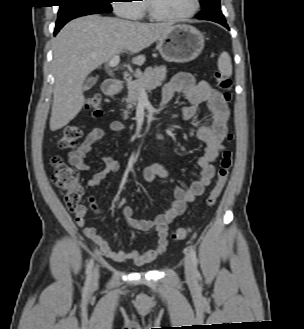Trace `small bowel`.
Instances as JSON below:
<instances>
[{
	"label": "small bowel",
	"mask_w": 304,
	"mask_h": 329,
	"mask_svg": "<svg viewBox=\"0 0 304 329\" xmlns=\"http://www.w3.org/2000/svg\"><path fill=\"white\" fill-rule=\"evenodd\" d=\"M177 94L183 95L189 105L182 107V118L186 121L192 120L203 103L207 107V120L197 129V137L206 144L203 154L198 158L200 169L199 177L191 182L187 189L177 187L174 191L173 200L169 209L154 219L138 220L134 217L133 209L126 206L122 210V218L126 226L137 231H156L157 239L153 247L147 251L134 249L126 252L122 250H113L105 238L97 233L92 227L86 225V209L81 206L80 210L74 212L75 221L79 227L83 228V233L100 250V253L114 262L131 261L136 265H141L162 254L168 244L167 236L170 223L185 210L189 202H193L197 197L203 194L205 188L212 182L215 170L214 163L218 160L221 151L224 148V141L227 135V122L230 118V110L224 100L223 95L215 90L207 81L195 82L194 78L188 73H178L166 85L163 91L162 103L171 102ZM125 129L123 122L115 120L106 128L93 129L86 137L84 142L69 154V162L80 171L90 169L86 162L88 154L93 147L101 140L108 138L113 133L121 132ZM105 168L91 176L88 180V186L97 188L102 180L111 173L120 169L117 160L111 157H104ZM169 173L164 166L158 163L147 165L143 171V178L146 183L152 184L157 178L166 179ZM90 208L99 212L95 198H88Z\"/></svg>",
	"instance_id": "1"
}]
</instances>
